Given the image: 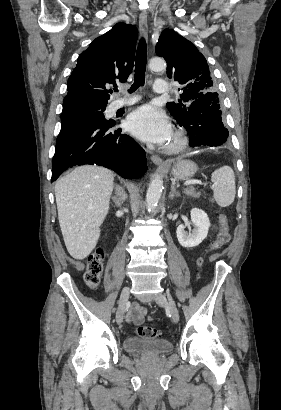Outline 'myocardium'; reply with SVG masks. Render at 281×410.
<instances>
[{"label": "myocardium", "mask_w": 281, "mask_h": 410, "mask_svg": "<svg viewBox=\"0 0 281 410\" xmlns=\"http://www.w3.org/2000/svg\"><path fill=\"white\" fill-rule=\"evenodd\" d=\"M188 136L182 129H176L172 134V143L163 147V151L168 154H177L183 151L188 145Z\"/></svg>", "instance_id": "obj_1"}]
</instances>
